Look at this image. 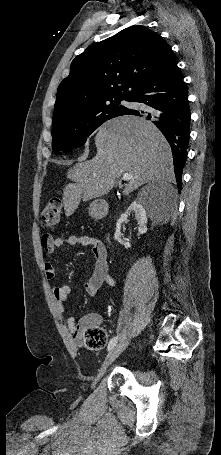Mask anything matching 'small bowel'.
I'll return each instance as SVG.
<instances>
[{"mask_svg": "<svg viewBox=\"0 0 221 455\" xmlns=\"http://www.w3.org/2000/svg\"><path fill=\"white\" fill-rule=\"evenodd\" d=\"M63 245H80L92 250L96 259L95 267L93 274L84 285L85 290L89 295H96L99 288L103 284H107L110 287H116V281L109 274L107 250L105 245L102 241L87 235L54 237L51 234H45L42 237V247L48 256V259L44 262V272L47 279L51 280L55 277L56 271L52 261V256L55 250ZM52 292L60 313L65 314L67 310V300L71 293L70 286L57 285L52 288ZM99 321V317L93 315L84 316L78 322L72 316L67 318L68 330L73 335L76 345H82V337L85 329L92 324L98 323Z\"/></svg>", "mask_w": 221, "mask_h": 455, "instance_id": "small-bowel-1", "label": "small bowel"}]
</instances>
